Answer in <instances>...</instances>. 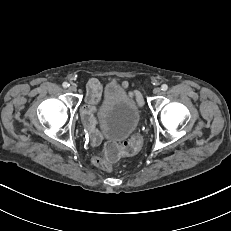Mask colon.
Masks as SVG:
<instances>
[{
  "label": "colon",
  "mask_w": 231,
  "mask_h": 231,
  "mask_svg": "<svg viewBox=\"0 0 231 231\" xmlns=\"http://www.w3.org/2000/svg\"><path fill=\"white\" fill-rule=\"evenodd\" d=\"M142 141V135L136 134L122 144L113 141L107 142L102 149L101 155L94 156L92 161L98 168L110 171L113 161L118 160L123 155L131 156L136 154L142 145Z\"/></svg>",
  "instance_id": "5ec220e1"
}]
</instances>
